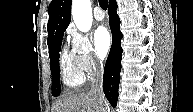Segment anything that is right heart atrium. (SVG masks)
I'll return each mask as SVG.
<instances>
[{"label": "right heart atrium", "mask_w": 193, "mask_h": 112, "mask_svg": "<svg viewBox=\"0 0 193 112\" xmlns=\"http://www.w3.org/2000/svg\"><path fill=\"white\" fill-rule=\"evenodd\" d=\"M68 34L71 40V51L83 74L93 76L99 73L102 69V63L96 58L88 37L74 29H69Z\"/></svg>", "instance_id": "obj_1"}]
</instances>
